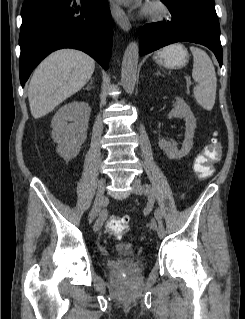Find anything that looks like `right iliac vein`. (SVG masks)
I'll return each instance as SVG.
<instances>
[{"instance_id":"obj_1","label":"right iliac vein","mask_w":245,"mask_h":319,"mask_svg":"<svg viewBox=\"0 0 245 319\" xmlns=\"http://www.w3.org/2000/svg\"><path fill=\"white\" fill-rule=\"evenodd\" d=\"M104 193H105V180L101 179L99 181L95 202L89 216V223H92L95 220L101 208L105 205L106 201H105ZM94 230L95 231L99 230V225L97 222L94 225Z\"/></svg>"}]
</instances>
